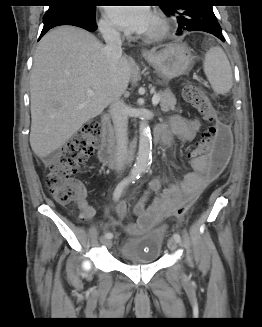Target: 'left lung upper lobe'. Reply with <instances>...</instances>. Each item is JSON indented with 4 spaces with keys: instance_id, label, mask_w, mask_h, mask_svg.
I'll use <instances>...</instances> for the list:
<instances>
[{
    "instance_id": "obj_1",
    "label": "left lung upper lobe",
    "mask_w": 262,
    "mask_h": 327,
    "mask_svg": "<svg viewBox=\"0 0 262 327\" xmlns=\"http://www.w3.org/2000/svg\"><path fill=\"white\" fill-rule=\"evenodd\" d=\"M173 2L177 4L164 5L161 6V9L166 16L177 20L179 34L185 31H203L213 35L222 34V29L211 5H188L186 4L187 1L184 0Z\"/></svg>"
}]
</instances>
